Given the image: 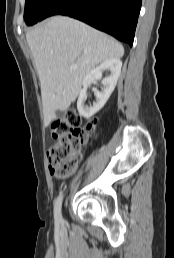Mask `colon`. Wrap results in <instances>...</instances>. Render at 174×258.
I'll return each mask as SVG.
<instances>
[{
	"label": "colon",
	"instance_id": "obj_1",
	"mask_svg": "<svg viewBox=\"0 0 174 258\" xmlns=\"http://www.w3.org/2000/svg\"><path fill=\"white\" fill-rule=\"evenodd\" d=\"M51 138L53 144L48 151L51 172L60 178L68 177L76 170L81 148L87 140L80 115L70 110L63 118L54 121Z\"/></svg>",
	"mask_w": 174,
	"mask_h": 258
}]
</instances>
